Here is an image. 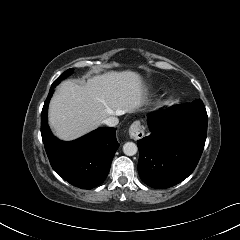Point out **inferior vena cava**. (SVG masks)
Listing matches in <instances>:
<instances>
[{"label": "inferior vena cava", "mask_w": 240, "mask_h": 240, "mask_svg": "<svg viewBox=\"0 0 240 240\" xmlns=\"http://www.w3.org/2000/svg\"><path fill=\"white\" fill-rule=\"evenodd\" d=\"M103 123L109 127H115L119 123V119L115 116H110L103 120Z\"/></svg>", "instance_id": "602c4592"}]
</instances>
